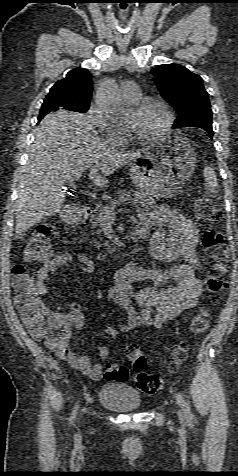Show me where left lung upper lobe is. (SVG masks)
Instances as JSON below:
<instances>
[{
    "label": "left lung upper lobe",
    "instance_id": "obj_1",
    "mask_svg": "<svg viewBox=\"0 0 238 476\" xmlns=\"http://www.w3.org/2000/svg\"><path fill=\"white\" fill-rule=\"evenodd\" d=\"M151 73L161 96L176 110L172 128H212V110L203 79L179 64H163Z\"/></svg>",
    "mask_w": 238,
    "mask_h": 476
}]
</instances>
